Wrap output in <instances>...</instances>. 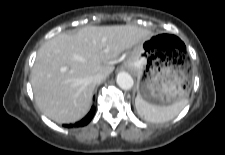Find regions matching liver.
<instances>
[{
	"label": "liver",
	"instance_id": "6515ba94",
	"mask_svg": "<svg viewBox=\"0 0 225 155\" xmlns=\"http://www.w3.org/2000/svg\"><path fill=\"white\" fill-rule=\"evenodd\" d=\"M154 35L134 25L87 26L75 35L60 33L37 53L31 85L37 106L57 123H73L89 111L93 76L114 70L113 60L124 50Z\"/></svg>",
	"mask_w": 225,
	"mask_h": 155
}]
</instances>
